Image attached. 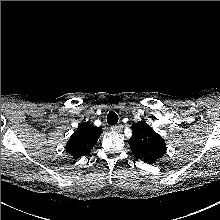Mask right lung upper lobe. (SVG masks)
<instances>
[{"instance_id":"obj_1","label":"right lung upper lobe","mask_w":220,"mask_h":220,"mask_svg":"<svg viewBox=\"0 0 220 220\" xmlns=\"http://www.w3.org/2000/svg\"><path fill=\"white\" fill-rule=\"evenodd\" d=\"M101 133L102 129L100 127L90 123L80 124L67 141L65 149L73 158L87 155L96 144Z\"/></svg>"}]
</instances>
